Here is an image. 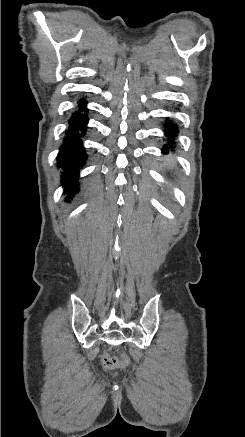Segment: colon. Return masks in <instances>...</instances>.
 Listing matches in <instances>:
<instances>
[{
	"label": "colon",
	"instance_id": "obj_1",
	"mask_svg": "<svg viewBox=\"0 0 245 437\" xmlns=\"http://www.w3.org/2000/svg\"><path fill=\"white\" fill-rule=\"evenodd\" d=\"M102 363L106 368H116V367H125L128 365L129 361L126 356H122L121 358H117L114 356L104 355L102 358Z\"/></svg>",
	"mask_w": 245,
	"mask_h": 437
}]
</instances>
